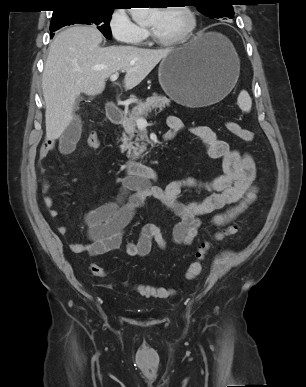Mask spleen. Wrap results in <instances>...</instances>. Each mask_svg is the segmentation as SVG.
Listing matches in <instances>:
<instances>
[{"label":"spleen","instance_id":"3e777b00","mask_svg":"<svg viewBox=\"0 0 306 387\" xmlns=\"http://www.w3.org/2000/svg\"><path fill=\"white\" fill-rule=\"evenodd\" d=\"M237 103L243 112H250L252 107V100L246 90H242L237 98Z\"/></svg>","mask_w":306,"mask_h":387}]
</instances>
